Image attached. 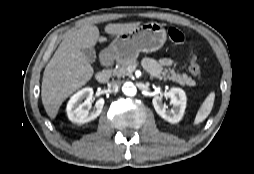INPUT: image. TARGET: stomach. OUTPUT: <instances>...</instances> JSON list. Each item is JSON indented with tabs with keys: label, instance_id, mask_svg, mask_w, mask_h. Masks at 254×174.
I'll list each match as a JSON object with an SVG mask.
<instances>
[{
	"label": "stomach",
	"instance_id": "obj_1",
	"mask_svg": "<svg viewBox=\"0 0 254 174\" xmlns=\"http://www.w3.org/2000/svg\"><path fill=\"white\" fill-rule=\"evenodd\" d=\"M166 41V31L159 23H146L118 35L103 53L117 61L136 59L140 52H154L160 49Z\"/></svg>",
	"mask_w": 254,
	"mask_h": 174
}]
</instances>
